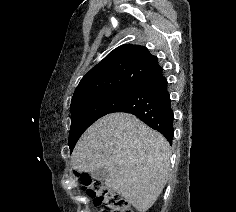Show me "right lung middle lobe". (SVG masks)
<instances>
[{"label":"right lung middle lobe","mask_w":236,"mask_h":212,"mask_svg":"<svg viewBox=\"0 0 236 212\" xmlns=\"http://www.w3.org/2000/svg\"><path fill=\"white\" fill-rule=\"evenodd\" d=\"M133 88L103 92L71 102L70 152L82 133L100 117L114 112L123 103Z\"/></svg>","instance_id":"obj_1"}]
</instances>
